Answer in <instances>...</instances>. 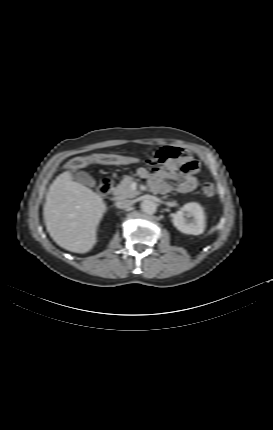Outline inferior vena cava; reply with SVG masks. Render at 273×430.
Masks as SVG:
<instances>
[{
    "instance_id": "1",
    "label": "inferior vena cava",
    "mask_w": 273,
    "mask_h": 430,
    "mask_svg": "<svg viewBox=\"0 0 273 430\" xmlns=\"http://www.w3.org/2000/svg\"><path fill=\"white\" fill-rule=\"evenodd\" d=\"M131 205H132V201L126 200V199L119 200L115 203V206L121 209L129 208Z\"/></svg>"
}]
</instances>
